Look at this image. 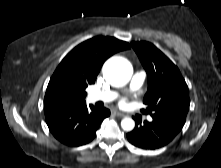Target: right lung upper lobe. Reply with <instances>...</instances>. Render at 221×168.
I'll use <instances>...</instances> for the list:
<instances>
[{"label":"right lung upper lobe","instance_id":"cb5924a9","mask_svg":"<svg viewBox=\"0 0 221 168\" xmlns=\"http://www.w3.org/2000/svg\"><path fill=\"white\" fill-rule=\"evenodd\" d=\"M127 42L97 36L71 50L52 75L44 97V111L85 103V89L93 84L107 58L129 49Z\"/></svg>","mask_w":221,"mask_h":168}]
</instances>
